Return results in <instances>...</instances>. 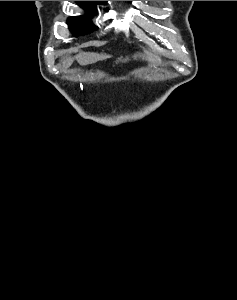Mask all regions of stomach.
Returning <instances> with one entry per match:
<instances>
[{
  "instance_id": "1",
  "label": "stomach",
  "mask_w": 237,
  "mask_h": 300,
  "mask_svg": "<svg viewBox=\"0 0 237 300\" xmlns=\"http://www.w3.org/2000/svg\"><path fill=\"white\" fill-rule=\"evenodd\" d=\"M134 57H137V59H142V61H147L151 67H157V65H161L162 63V57L158 55V53H153V51H143V53H136ZM124 61H127V59H124ZM118 63H123L122 59H119V61H116V65Z\"/></svg>"
}]
</instances>
